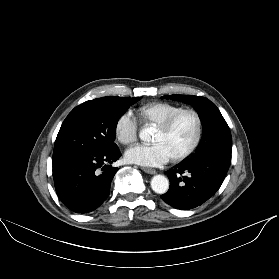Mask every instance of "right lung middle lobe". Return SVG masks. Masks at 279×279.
Returning a JSON list of instances; mask_svg holds the SVG:
<instances>
[{
    "label": "right lung middle lobe",
    "mask_w": 279,
    "mask_h": 279,
    "mask_svg": "<svg viewBox=\"0 0 279 279\" xmlns=\"http://www.w3.org/2000/svg\"><path fill=\"white\" fill-rule=\"evenodd\" d=\"M139 98L108 96L75 107L58 132L53 157L61 155H102L117 147L116 126L129 104Z\"/></svg>",
    "instance_id": "dd1d6c3e"
}]
</instances>
